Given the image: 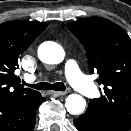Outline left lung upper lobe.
Wrapping results in <instances>:
<instances>
[{"mask_svg": "<svg viewBox=\"0 0 131 131\" xmlns=\"http://www.w3.org/2000/svg\"><path fill=\"white\" fill-rule=\"evenodd\" d=\"M85 47L90 73L97 72L103 88L100 98L88 108L106 118L114 127H131V40L117 24L89 17L67 25ZM101 90V89H100Z\"/></svg>", "mask_w": 131, "mask_h": 131, "instance_id": "5c2ea615", "label": "left lung upper lobe"}]
</instances>
